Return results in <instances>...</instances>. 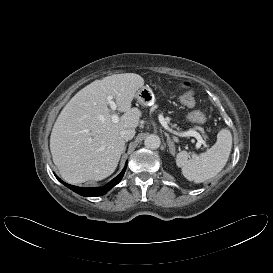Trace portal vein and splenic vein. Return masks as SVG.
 <instances>
[{
  "label": "portal vein and splenic vein",
  "instance_id": "1",
  "mask_svg": "<svg viewBox=\"0 0 273 273\" xmlns=\"http://www.w3.org/2000/svg\"><path fill=\"white\" fill-rule=\"evenodd\" d=\"M107 101H108V104H109L110 108L115 112L116 109H117V105L113 101V96H108ZM111 119H112V121L117 122L119 120V117H118V115L116 113H114L111 116ZM159 121H160L161 125L168 132H170V133H172L174 135H177V136H180V137H195L197 139V147H200L201 144H205V141L202 139L201 135L197 131H194V130H189V131H186V132L174 131L168 126L167 122L165 121V119H164V117L162 115L159 116Z\"/></svg>",
  "mask_w": 273,
  "mask_h": 273
}]
</instances>
